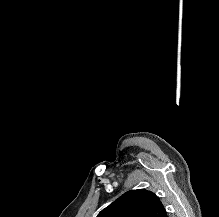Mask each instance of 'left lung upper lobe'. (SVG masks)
<instances>
[{"label": "left lung upper lobe", "instance_id": "5c2ea615", "mask_svg": "<svg viewBox=\"0 0 219 217\" xmlns=\"http://www.w3.org/2000/svg\"><path fill=\"white\" fill-rule=\"evenodd\" d=\"M97 217H168L160 199L145 189L131 190L103 209Z\"/></svg>", "mask_w": 219, "mask_h": 217}]
</instances>
